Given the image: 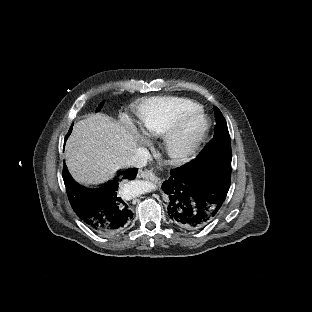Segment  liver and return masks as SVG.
Masks as SVG:
<instances>
[{
	"mask_svg": "<svg viewBox=\"0 0 312 312\" xmlns=\"http://www.w3.org/2000/svg\"><path fill=\"white\" fill-rule=\"evenodd\" d=\"M137 149L128 130L110 117L92 115L75 124L66 145V162L75 179L98 185L113 178L114 172Z\"/></svg>",
	"mask_w": 312,
	"mask_h": 312,
	"instance_id": "obj_1",
	"label": "liver"
}]
</instances>
